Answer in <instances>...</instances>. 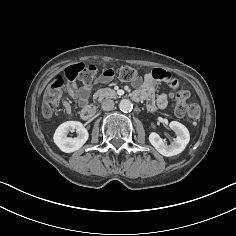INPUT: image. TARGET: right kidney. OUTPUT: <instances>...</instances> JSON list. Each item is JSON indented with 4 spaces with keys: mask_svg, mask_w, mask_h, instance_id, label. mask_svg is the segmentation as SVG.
I'll use <instances>...</instances> for the list:
<instances>
[{
    "mask_svg": "<svg viewBox=\"0 0 236 236\" xmlns=\"http://www.w3.org/2000/svg\"><path fill=\"white\" fill-rule=\"evenodd\" d=\"M69 131H76L77 136L68 137ZM87 129L78 121H66L58 126L53 139L59 149L65 153H71L80 149L88 140Z\"/></svg>",
    "mask_w": 236,
    "mask_h": 236,
    "instance_id": "1",
    "label": "right kidney"
}]
</instances>
